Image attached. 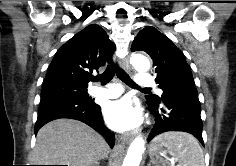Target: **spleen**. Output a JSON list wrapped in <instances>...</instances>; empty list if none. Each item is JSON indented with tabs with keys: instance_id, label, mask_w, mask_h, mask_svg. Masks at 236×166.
<instances>
[{
	"instance_id": "spleen-1",
	"label": "spleen",
	"mask_w": 236,
	"mask_h": 166,
	"mask_svg": "<svg viewBox=\"0 0 236 166\" xmlns=\"http://www.w3.org/2000/svg\"><path fill=\"white\" fill-rule=\"evenodd\" d=\"M160 154L168 152L178 162L177 166H205L203 151L198 141L184 132H166L152 141ZM162 166H172L168 159L160 158Z\"/></svg>"
}]
</instances>
